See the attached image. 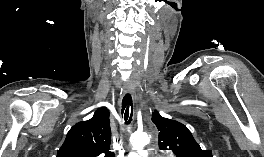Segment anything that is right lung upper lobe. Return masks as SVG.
Returning <instances> with one entry per match:
<instances>
[{"label":"right lung upper lobe","instance_id":"1","mask_svg":"<svg viewBox=\"0 0 264 157\" xmlns=\"http://www.w3.org/2000/svg\"><path fill=\"white\" fill-rule=\"evenodd\" d=\"M110 142L109 111L101 108L69 130L56 157H114Z\"/></svg>","mask_w":264,"mask_h":157}]
</instances>
